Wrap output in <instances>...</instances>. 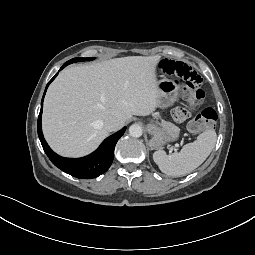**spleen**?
<instances>
[{
  "instance_id": "obj_1",
  "label": "spleen",
  "mask_w": 255,
  "mask_h": 255,
  "mask_svg": "<svg viewBox=\"0 0 255 255\" xmlns=\"http://www.w3.org/2000/svg\"><path fill=\"white\" fill-rule=\"evenodd\" d=\"M217 134L209 129L201 133L197 140L183 146L180 152L167 155L158 150L153 154V160L159 169L174 177L184 176L199 167L215 147Z\"/></svg>"
}]
</instances>
